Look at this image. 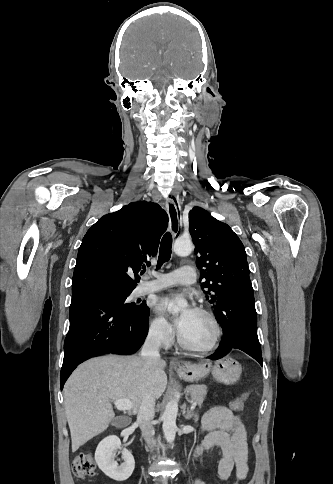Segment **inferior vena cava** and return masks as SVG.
<instances>
[{
	"instance_id": "obj_1",
	"label": "inferior vena cava",
	"mask_w": 333,
	"mask_h": 484,
	"mask_svg": "<svg viewBox=\"0 0 333 484\" xmlns=\"http://www.w3.org/2000/svg\"><path fill=\"white\" fill-rule=\"evenodd\" d=\"M161 345V332L152 330L149 332L140 352L145 361L160 359L159 348ZM155 416V398L151 392L144 394L141 406L138 410L137 422L140 425L142 435L148 445H152L154 429L152 421Z\"/></svg>"
}]
</instances>
